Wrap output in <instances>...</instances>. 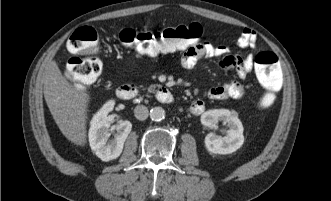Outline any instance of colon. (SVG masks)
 I'll return each mask as SVG.
<instances>
[{
    "label": "colon",
    "instance_id": "1",
    "mask_svg": "<svg viewBox=\"0 0 331 201\" xmlns=\"http://www.w3.org/2000/svg\"><path fill=\"white\" fill-rule=\"evenodd\" d=\"M203 35V28L198 23L165 28L159 31H137L132 28L122 29L118 40L125 48L155 56L161 53L185 50L196 46ZM68 50L74 56L66 65L67 77L78 86L93 83L102 72V61L95 53L98 50V35L94 28L82 26L69 38ZM257 78L264 88V93L257 99L260 108L271 107L278 91L282 87L283 68L278 56L271 51H261L254 59Z\"/></svg>",
    "mask_w": 331,
    "mask_h": 201
}]
</instances>
